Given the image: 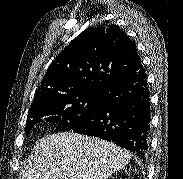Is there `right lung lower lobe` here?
<instances>
[{
	"label": "right lung lower lobe",
	"instance_id": "98d812e1",
	"mask_svg": "<svg viewBox=\"0 0 183 179\" xmlns=\"http://www.w3.org/2000/svg\"><path fill=\"white\" fill-rule=\"evenodd\" d=\"M74 132L112 141L145 160L149 147L150 95L143 66L105 87L94 117Z\"/></svg>",
	"mask_w": 183,
	"mask_h": 179
}]
</instances>
